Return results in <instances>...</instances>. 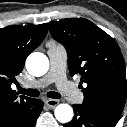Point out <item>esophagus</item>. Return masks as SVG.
Masks as SVG:
<instances>
[{"mask_svg": "<svg viewBox=\"0 0 127 127\" xmlns=\"http://www.w3.org/2000/svg\"><path fill=\"white\" fill-rule=\"evenodd\" d=\"M45 104L49 109H54L59 104V101L54 99H48L45 101Z\"/></svg>", "mask_w": 127, "mask_h": 127, "instance_id": "obj_1", "label": "esophagus"}]
</instances>
